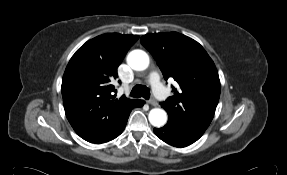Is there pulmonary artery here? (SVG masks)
I'll list each match as a JSON object with an SVG mask.
<instances>
[{"instance_id":"e3ab8cb5","label":"pulmonary artery","mask_w":287,"mask_h":175,"mask_svg":"<svg viewBox=\"0 0 287 175\" xmlns=\"http://www.w3.org/2000/svg\"><path fill=\"white\" fill-rule=\"evenodd\" d=\"M149 82L152 85L153 92L160 100H165L168 93L164 86L159 82V75L157 72H151L149 75Z\"/></svg>"}]
</instances>
